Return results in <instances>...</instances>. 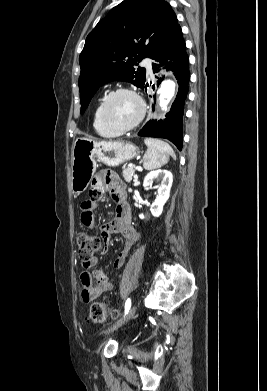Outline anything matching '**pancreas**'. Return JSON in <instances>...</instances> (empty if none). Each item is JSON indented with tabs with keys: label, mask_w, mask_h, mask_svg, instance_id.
<instances>
[{
	"label": "pancreas",
	"mask_w": 267,
	"mask_h": 391,
	"mask_svg": "<svg viewBox=\"0 0 267 391\" xmlns=\"http://www.w3.org/2000/svg\"><path fill=\"white\" fill-rule=\"evenodd\" d=\"M135 174V167L134 166H131V167H123V178L126 182H131L132 180V177L134 176Z\"/></svg>",
	"instance_id": "pancreas-1"
}]
</instances>
